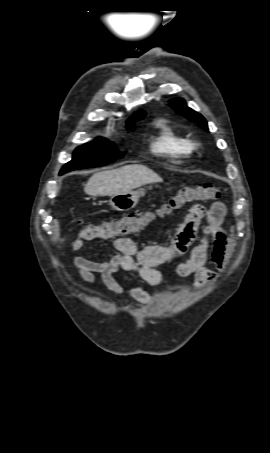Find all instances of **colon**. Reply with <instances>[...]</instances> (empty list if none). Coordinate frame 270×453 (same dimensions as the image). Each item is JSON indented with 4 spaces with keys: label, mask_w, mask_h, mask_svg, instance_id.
Wrapping results in <instances>:
<instances>
[{
    "label": "colon",
    "mask_w": 270,
    "mask_h": 453,
    "mask_svg": "<svg viewBox=\"0 0 270 453\" xmlns=\"http://www.w3.org/2000/svg\"><path fill=\"white\" fill-rule=\"evenodd\" d=\"M221 194V188L212 184L183 186L175 195L161 204L155 212L130 213L110 222L97 225L89 224L80 231V234L87 238L100 237L103 239L133 234L141 230L157 216L168 215L188 203L216 200Z\"/></svg>",
    "instance_id": "obj_1"
}]
</instances>
